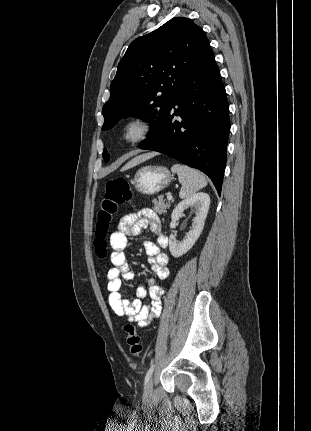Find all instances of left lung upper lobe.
Listing matches in <instances>:
<instances>
[{
	"label": "left lung upper lobe",
	"instance_id": "left-lung-upper-lobe-1",
	"mask_svg": "<svg viewBox=\"0 0 311 431\" xmlns=\"http://www.w3.org/2000/svg\"><path fill=\"white\" fill-rule=\"evenodd\" d=\"M203 30L192 20L176 17L137 38L120 61L103 106L102 130L121 118L137 116L151 125L148 141L158 130L187 76L210 50ZM140 144V145H141ZM106 162L110 156L103 151Z\"/></svg>",
	"mask_w": 311,
	"mask_h": 431
}]
</instances>
